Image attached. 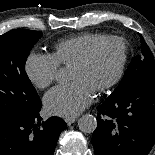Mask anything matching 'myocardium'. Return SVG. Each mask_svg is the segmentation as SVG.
Instances as JSON below:
<instances>
[{
  "mask_svg": "<svg viewBox=\"0 0 155 155\" xmlns=\"http://www.w3.org/2000/svg\"><path fill=\"white\" fill-rule=\"evenodd\" d=\"M113 41L118 42L121 45V50H122L121 61L114 77L104 85L98 87L96 89L97 92L106 91L114 87L122 79L126 68L127 60H128V47L125 39L123 37L116 36V35L105 36L100 40L96 41L94 44H92L89 47V49L84 53V55L71 66V67H83L87 65L91 61L95 52L101 45L107 42H113Z\"/></svg>",
  "mask_w": 155,
  "mask_h": 155,
  "instance_id": "obj_1",
  "label": "myocardium"
}]
</instances>
